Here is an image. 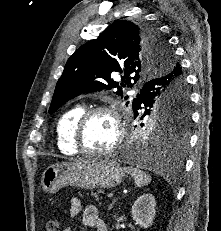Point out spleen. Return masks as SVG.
<instances>
[{
	"mask_svg": "<svg viewBox=\"0 0 221 231\" xmlns=\"http://www.w3.org/2000/svg\"><path fill=\"white\" fill-rule=\"evenodd\" d=\"M124 170L134 179L137 187L148 185L151 182V177L146 172L136 167H124Z\"/></svg>",
	"mask_w": 221,
	"mask_h": 231,
	"instance_id": "3e777b00",
	"label": "spleen"
}]
</instances>
